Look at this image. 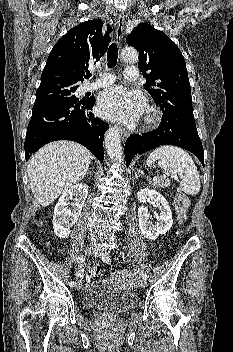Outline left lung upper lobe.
Instances as JSON below:
<instances>
[{
  "label": "left lung upper lobe",
  "mask_w": 233,
  "mask_h": 352,
  "mask_svg": "<svg viewBox=\"0 0 233 352\" xmlns=\"http://www.w3.org/2000/svg\"><path fill=\"white\" fill-rule=\"evenodd\" d=\"M126 42L139 51L138 68L147 78L144 88L163 116L195 122L186 63L178 46L148 23L138 24Z\"/></svg>",
  "instance_id": "5c2ea615"
}]
</instances>
